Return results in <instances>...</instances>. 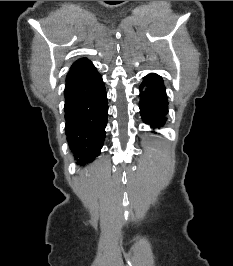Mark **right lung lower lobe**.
I'll list each match as a JSON object with an SVG mask.
<instances>
[{"instance_id":"right-lung-lower-lobe-1","label":"right lung lower lobe","mask_w":233,"mask_h":266,"mask_svg":"<svg viewBox=\"0 0 233 266\" xmlns=\"http://www.w3.org/2000/svg\"><path fill=\"white\" fill-rule=\"evenodd\" d=\"M64 94L67 140L85 165L100 154L108 116L104 82L91 61L84 58L71 67Z\"/></svg>"}]
</instances>
